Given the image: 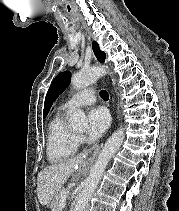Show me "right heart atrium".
<instances>
[{
	"instance_id": "1",
	"label": "right heart atrium",
	"mask_w": 179,
	"mask_h": 211,
	"mask_svg": "<svg viewBox=\"0 0 179 211\" xmlns=\"http://www.w3.org/2000/svg\"><path fill=\"white\" fill-rule=\"evenodd\" d=\"M77 140H78V142H81L83 140V137L82 136H77Z\"/></svg>"
}]
</instances>
